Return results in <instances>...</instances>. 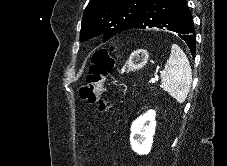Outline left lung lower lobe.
I'll return each mask as SVG.
<instances>
[{
	"label": "left lung lower lobe",
	"instance_id": "1",
	"mask_svg": "<svg viewBox=\"0 0 227 166\" xmlns=\"http://www.w3.org/2000/svg\"><path fill=\"white\" fill-rule=\"evenodd\" d=\"M152 27L178 33L194 56L196 36L186 0H147L132 29Z\"/></svg>",
	"mask_w": 227,
	"mask_h": 166
}]
</instances>
